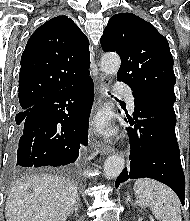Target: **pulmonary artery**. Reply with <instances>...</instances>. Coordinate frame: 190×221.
I'll list each match as a JSON object with an SVG mask.
<instances>
[{
    "label": "pulmonary artery",
    "mask_w": 190,
    "mask_h": 221,
    "mask_svg": "<svg viewBox=\"0 0 190 221\" xmlns=\"http://www.w3.org/2000/svg\"><path fill=\"white\" fill-rule=\"evenodd\" d=\"M118 89L123 92L124 94V97L130 107V109L133 111L134 110V107H135V104H134V97H133V94H132V91L127 88V87H124L122 85H119L118 86Z\"/></svg>",
    "instance_id": "1"
}]
</instances>
